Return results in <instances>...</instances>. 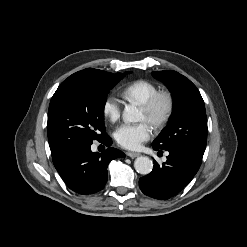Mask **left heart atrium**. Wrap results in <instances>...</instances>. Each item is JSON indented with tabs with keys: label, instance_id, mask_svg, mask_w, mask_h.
<instances>
[{
	"label": "left heart atrium",
	"instance_id": "39dd6f15",
	"mask_svg": "<svg viewBox=\"0 0 247 247\" xmlns=\"http://www.w3.org/2000/svg\"><path fill=\"white\" fill-rule=\"evenodd\" d=\"M152 134V129L147 121L135 124H123L115 131L117 143L126 149H137L147 141Z\"/></svg>",
	"mask_w": 247,
	"mask_h": 247
}]
</instances>
